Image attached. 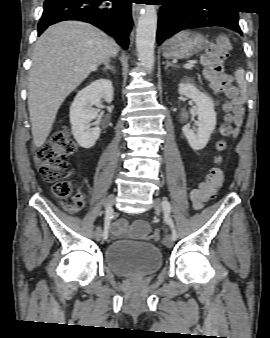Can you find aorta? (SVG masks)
<instances>
[{
  "instance_id": "obj_1",
  "label": "aorta",
  "mask_w": 270,
  "mask_h": 338,
  "mask_svg": "<svg viewBox=\"0 0 270 338\" xmlns=\"http://www.w3.org/2000/svg\"><path fill=\"white\" fill-rule=\"evenodd\" d=\"M157 30V11L155 5H145L138 19L136 48L141 65L148 71L154 67V49Z\"/></svg>"
}]
</instances>
